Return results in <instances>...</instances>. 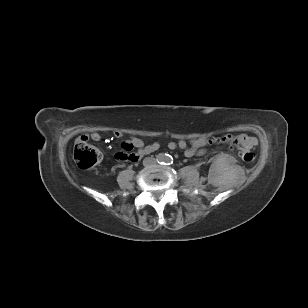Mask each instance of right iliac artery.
I'll list each match as a JSON object with an SVG mask.
<instances>
[{
    "label": "right iliac artery",
    "instance_id": "obj_1",
    "mask_svg": "<svg viewBox=\"0 0 308 308\" xmlns=\"http://www.w3.org/2000/svg\"><path fill=\"white\" fill-rule=\"evenodd\" d=\"M157 160H158V161H164V160H165L164 155L159 154V155H158V159H157Z\"/></svg>",
    "mask_w": 308,
    "mask_h": 308
}]
</instances>
